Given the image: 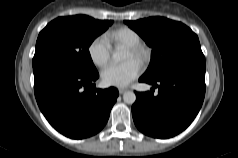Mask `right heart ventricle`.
Listing matches in <instances>:
<instances>
[{
    "mask_svg": "<svg viewBox=\"0 0 238 158\" xmlns=\"http://www.w3.org/2000/svg\"><path fill=\"white\" fill-rule=\"evenodd\" d=\"M107 39L115 45L126 47L141 43V37L137 31L129 27H120L110 31L106 35Z\"/></svg>",
    "mask_w": 238,
    "mask_h": 158,
    "instance_id": "e07e8e85",
    "label": "right heart ventricle"
}]
</instances>
